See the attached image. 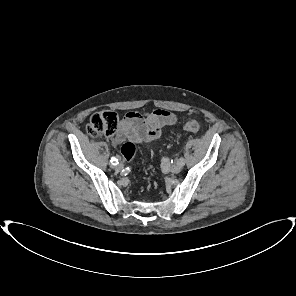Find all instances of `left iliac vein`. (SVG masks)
Listing matches in <instances>:
<instances>
[{
  "label": "left iliac vein",
  "instance_id": "obj_1",
  "mask_svg": "<svg viewBox=\"0 0 296 296\" xmlns=\"http://www.w3.org/2000/svg\"><path fill=\"white\" fill-rule=\"evenodd\" d=\"M181 169H182V165L178 162L170 167V171L172 173H179L181 171Z\"/></svg>",
  "mask_w": 296,
  "mask_h": 296
}]
</instances>
